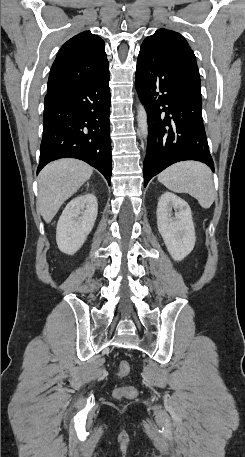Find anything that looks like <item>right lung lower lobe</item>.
<instances>
[{
  "label": "right lung lower lobe",
  "mask_w": 245,
  "mask_h": 457,
  "mask_svg": "<svg viewBox=\"0 0 245 457\" xmlns=\"http://www.w3.org/2000/svg\"><path fill=\"white\" fill-rule=\"evenodd\" d=\"M109 79L108 72L73 81L47 93L37 173L53 160L71 157L98 169L110 185Z\"/></svg>",
  "instance_id": "1"
}]
</instances>
